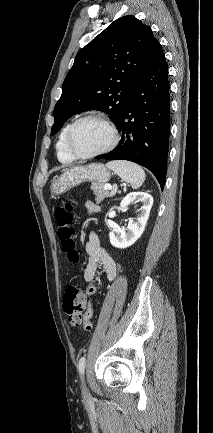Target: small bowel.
<instances>
[{
	"mask_svg": "<svg viewBox=\"0 0 213 433\" xmlns=\"http://www.w3.org/2000/svg\"><path fill=\"white\" fill-rule=\"evenodd\" d=\"M87 210L90 213L97 212L98 207L93 203H87ZM87 257V265L83 273L86 282V292L88 295H94L102 285V279L99 274L101 271L106 280L111 282L117 274V266L113 258L100 246L99 238L91 231L84 247ZM93 314L91 303L87 304L86 316L90 320Z\"/></svg>",
	"mask_w": 213,
	"mask_h": 433,
	"instance_id": "1",
	"label": "small bowel"
}]
</instances>
